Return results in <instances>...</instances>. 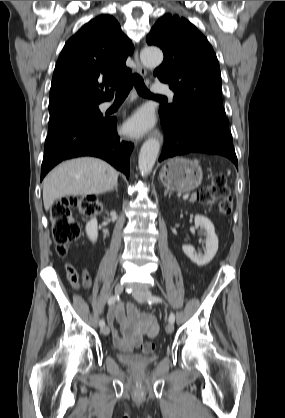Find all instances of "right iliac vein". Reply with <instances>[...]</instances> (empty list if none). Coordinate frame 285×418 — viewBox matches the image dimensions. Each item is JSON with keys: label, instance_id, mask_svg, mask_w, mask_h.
I'll use <instances>...</instances> for the list:
<instances>
[{"label": "right iliac vein", "instance_id": "63e3f726", "mask_svg": "<svg viewBox=\"0 0 285 418\" xmlns=\"http://www.w3.org/2000/svg\"><path fill=\"white\" fill-rule=\"evenodd\" d=\"M114 291H115V294H116V295H120V294L122 293V291H123V285H122V284H120V283H117V284L115 285ZM109 332H110V329H109V327H108V326H103V327L101 328V333H102L103 335H108V334H109Z\"/></svg>", "mask_w": 285, "mask_h": 418}]
</instances>
